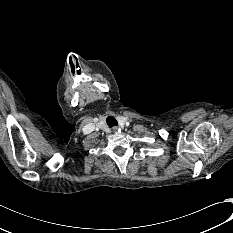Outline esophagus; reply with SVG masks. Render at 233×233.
I'll return each instance as SVG.
<instances>
[{
	"instance_id": "1",
	"label": "esophagus",
	"mask_w": 233,
	"mask_h": 233,
	"mask_svg": "<svg viewBox=\"0 0 233 233\" xmlns=\"http://www.w3.org/2000/svg\"><path fill=\"white\" fill-rule=\"evenodd\" d=\"M116 130H117V128L115 127V128H114V131L116 132Z\"/></svg>"
}]
</instances>
